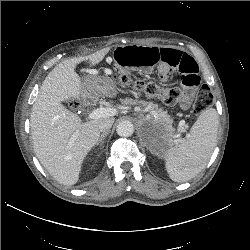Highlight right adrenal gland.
Masks as SVG:
<instances>
[{"label":"right adrenal gland","instance_id":"obj_1","mask_svg":"<svg viewBox=\"0 0 250 250\" xmlns=\"http://www.w3.org/2000/svg\"><path fill=\"white\" fill-rule=\"evenodd\" d=\"M108 134H109V132L101 134V136H100L99 140L97 141L96 145H100V147L103 148L104 139Z\"/></svg>","mask_w":250,"mask_h":250}]
</instances>
